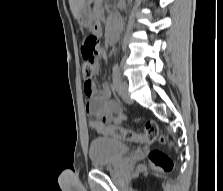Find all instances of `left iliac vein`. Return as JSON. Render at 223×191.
<instances>
[{
    "mask_svg": "<svg viewBox=\"0 0 223 191\" xmlns=\"http://www.w3.org/2000/svg\"><path fill=\"white\" fill-rule=\"evenodd\" d=\"M119 95L122 98V100L127 103L131 104L133 103L132 99L130 98L129 92H128V84L125 81H121L119 84Z\"/></svg>",
    "mask_w": 223,
    "mask_h": 191,
    "instance_id": "1",
    "label": "left iliac vein"
}]
</instances>
